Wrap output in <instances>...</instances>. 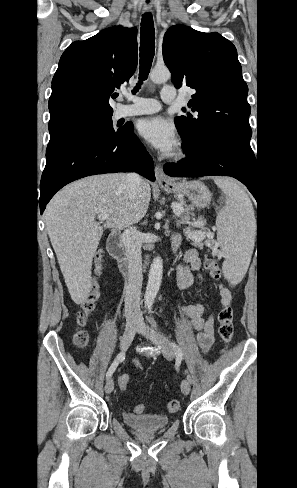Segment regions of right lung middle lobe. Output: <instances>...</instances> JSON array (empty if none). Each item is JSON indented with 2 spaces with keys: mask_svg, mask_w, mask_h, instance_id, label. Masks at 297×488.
I'll use <instances>...</instances> for the list:
<instances>
[{
  "mask_svg": "<svg viewBox=\"0 0 297 488\" xmlns=\"http://www.w3.org/2000/svg\"><path fill=\"white\" fill-rule=\"evenodd\" d=\"M128 128L114 130L111 116L103 119L84 121L59 131L50 133V141L46 150V159L57 154L66 146L89 139H101L126 133Z\"/></svg>",
  "mask_w": 297,
  "mask_h": 488,
  "instance_id": "obj_1",
  "label": "right lung middle lobe"
}]
</instances>
